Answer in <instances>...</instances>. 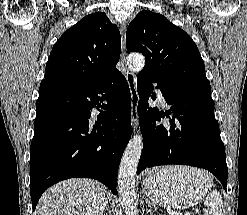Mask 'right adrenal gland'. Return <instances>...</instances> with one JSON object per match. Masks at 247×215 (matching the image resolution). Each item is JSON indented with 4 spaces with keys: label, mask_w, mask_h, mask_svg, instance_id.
<instances>
[{
    "label": "right adrenal gland",
    "mask_w": 247,
    "mask_h": 215,
    "mask_svg": "<svg viewBox=\"0 0 247 215\" xmlns=\"http://www.w3.org/2000/svg\"><path fill=\"white\" fill-rule=\"evenodd\" d=\"M105 211H109V205H108V202H107V204H106V207H105V209H104V215H105Z\"/></svg>",
    "instance_id": "right-adrenal-gland-1"
}]
</instances>
